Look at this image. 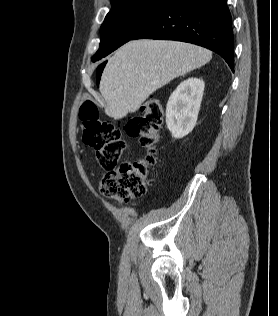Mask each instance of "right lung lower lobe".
<instances>
[{
  "label": "right lung lower lobe",
  "instance_id": "1",
  "mask_svg": "<svg viewBox=\"0 0 278 316\" xmlns=\"http://www.w3.org/2000/svg\"><path fill=\"white\" fill-rule=\"evenodd\" d=\"M145 38L203 46L223 57L234 71L232 17L226 0H167L131 40Z\"/></svg>",
  "mask_w": 278,
  "mask_h": 316
}]
</instances>
